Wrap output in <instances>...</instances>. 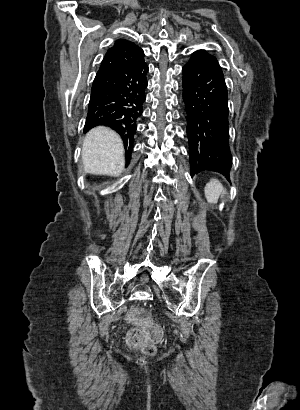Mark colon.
<instances>
[{
  "label": "colon",
  "instance_id": "5ec220e1",
  "mask_svg": "<svg viewBox=\"0 0 300 410\" xmlns=\"http://www.w3.org/2000/svg\"><path fill=\"white\" fill-rule=\"evenodd\" d=\"M127 319L136 327L127 334V343L133 349L147 353L155 351L156 344L162 338L161 327L154 323L146 310L133 307L127 313Z\"/></svg>",
  "mask_w": 300,
  "mask_h": 410
}]
</instances>
